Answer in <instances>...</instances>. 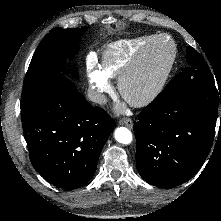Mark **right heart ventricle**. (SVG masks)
Listing matches in <instances>:
<instances>
[{
  "label": "right heart ventricle",
  "instance_id": "1",
  "mask_svg": "<svg viewBox=\"0 0 221 221\" xmlns=\"http://www.w3.org/2000/svg\"><path fill=\"white\" fill-rule=\"evenodd\" d=\"M155 35L140 36L114 42L105 49L100 69L108 78L121 77L139 59Z\"/></svg>",
  "mask_w": 221,
  "mask_h": 221
}]
</instances>
